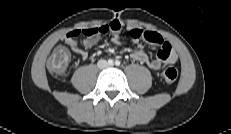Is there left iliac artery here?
I'll use <instances>...</instances> for the list:
<instances>
[{
  "mask_svg": "<svg viewBox=\"0 0 231 134\" xmlns=\"http://www.w3.org/2000/svg\"><path fill=\"white\" fill-rule=\"evenodd\" d=\"M115 65H116V66H119V65H120V61H119V60H116V61H115Z\"/></svg>",
  "mask_w": 231,
  "mask_h": 134,
  "instance_id": "obj_1",
  "label": "left iliac artery"
}]
</instances>
